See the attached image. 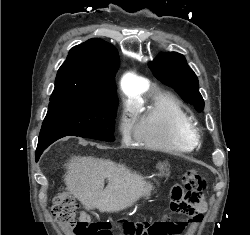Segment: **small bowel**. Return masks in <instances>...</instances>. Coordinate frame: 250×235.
I'll return each instance as SVG.
<instances>
[{
	"label": "small bowel",
	"mask_w": 250,
	"mask_h": 235,
	"mask_svg": "<svg viewBox=\"0 0 250 235\" xmlns=\"http://www.w3.org/2000/svg\"><path fill=\"white\" fill-rule=\"evenodd\" d=\"M184 209L176 211L179 218L176 220H161L159 221L164 229V235H185L184 229L188 222L198 223L201 221V216L206 210L204 202L200 201L198 204L183 203ZM82 218H86L85 213H81ZM128 235H140L131 230Z\"/></svg>",
	"instance_id": "obj_1"
}]
</instances>
